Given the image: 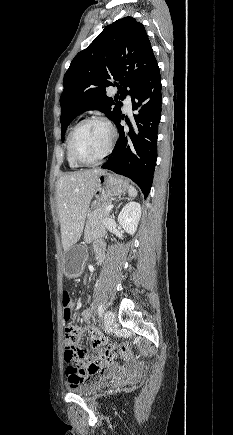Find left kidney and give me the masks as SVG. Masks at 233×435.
<instances>
[{
    "label": "left kidney",
    "instance_id": "1",
    "mask_svg": "<svg viewBox=\"0 0 233 435\" xmlns=\"http://www.w3.org/2000/svg\"><path fill=\"white\" fill-rule=\"evenodd\" d=\"M140 217L141 205L131 201L122 208L118 215V222L127 233L133 235L137 230Z\"/></svg>",
    "mask_w": 233,
    "mask_h": 435
}]
</instances>
